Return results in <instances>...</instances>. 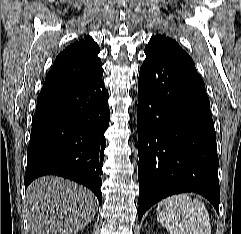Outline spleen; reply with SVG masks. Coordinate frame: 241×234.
Wrapping results in <instances>:
<instances>
[{"instance_id":"1","label":"spleen","mask_w":241,"mask_h":234,"mask_svg":"<svg viewBox=\"0 0 241 234\" xmlns=\"http://www.w3.org/2000/svg\"><path fill=\"white\" fill-rule=\"evenodd\" d=\"M157 220L170 234H211L208 211L202 201L186 194L173 195L158 203Z\"/></svg>"}]
</instances>
